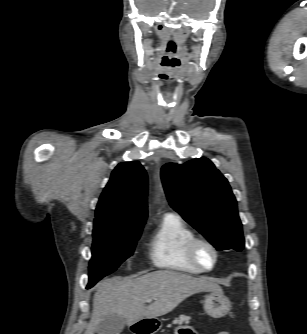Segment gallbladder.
I'll return each mask as SVG.
<instances>
[{
	"label": "gallbladder",
	"instance_id": "obj_1",
	"mask_svg": "<svg viewBox=\"0 0 307 334\" xmlns=\"http://www.w3.org/2000/svg\"><path fill=\"white\" fill-rule=\"evenodd\" d=\"M126 325L125 319L118 314L106 316L97 326V334H120Z\"/></svg>",
	"mask_w": 307,
	"mask_h": 334
}]
</instances>
